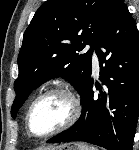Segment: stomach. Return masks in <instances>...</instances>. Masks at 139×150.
Here are the masks:
<instances>
[{
    "mask_svg": "<svg viewBox=\"0 0 139 150\" xmlns=\"http://www.w3.org/2000/svg\"><path fill=\"white\" fill-rule=\"evenodd\" d=\"M46 150H90V148L84 144L68 143L55 148H48Z\"/></svg>",
    "mask_w": 139,
    "mask_h": 150,
    "instance_id": "0dacf381",
    "label": "stomach"
}]
</instances>
